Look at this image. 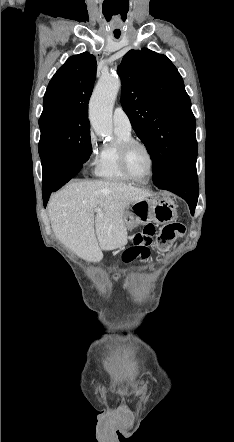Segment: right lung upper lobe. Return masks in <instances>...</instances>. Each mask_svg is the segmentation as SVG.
Returning a JSON list of instances; mask_svg holds the SVG:
<instances>
[{
  "mask_svg": "<svg viewBox=\"0 0 234 442\" xmlns=\"http://www.w3.org/2000/svg\"><path fill=\"white\" fill-rule=\"evenodd\" d=\"M95 79L93 55L84 52L69 57L49 82L40 118L70 115L88 119V103Z\"/></svg>",
  "mask_w": 234,
  "mask_h": 442,
  "instance_id": "right-lung-upper-lobe-1",
  "label": "right lung upper lobe"
}]
</instances>
